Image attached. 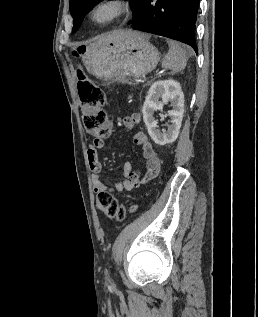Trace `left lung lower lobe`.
I'll return each instance as SVG.
<instances>
[{
  "mask_svg": "<svg viewBox=\"0 0 258 317\" xmlns=\"http://www.w3.org/2000/svg\"><path fill=\"white\" fill-rule=\"evenodd\" d=\"M200 0H143L131 27L190 45L197 53L195 23Z\"/></svg>",
  "mask_w": 258,
  "mask_h": 317,
  "instance_id": "1",
  "label": "left lung lower lobe"
}]
</instances>
